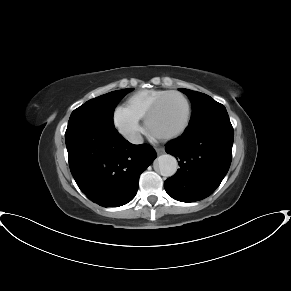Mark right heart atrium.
Returning <instances> with one entry per match:
<instances>
[{"label": "right heart atrium", "mask_w": 291, "mask_h": 291, "mask_svg": "<svg viewBox=\"0 0 291 291\" xmlns=\"http://www.w3.org/2000/svg\"><path fill=\"white\" fill-rule=\"evenodd\" d=\"M113 124L127 140H135L140 132V118L126 106L119 105L113 114Z\"/></svg>", "instance_id": "right-heart-atrium-1"}]
</instances>
